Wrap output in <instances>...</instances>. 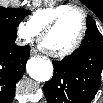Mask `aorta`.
<instances>
[{
  "instance_id": "obj_1",
  "label": "aorta",
  "mask_w": 103,
  "mask_h": 103,
  "mask_svg": "<svg viewBox=\"0 0 103 103\" xmlns=\"http://www.w3.org/2000/svg\"><path fill=\"white\" fill-rule=\"evenodd\" d=\"M29 76L39 82L49 81L53 75V65L49 60L31 58L26 65Z\"/></svg>"
}]
</instances>
